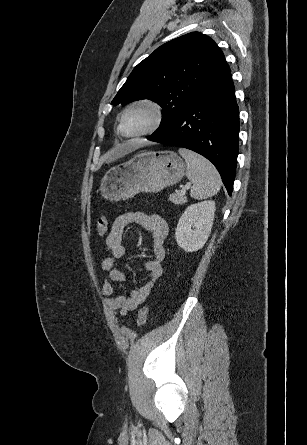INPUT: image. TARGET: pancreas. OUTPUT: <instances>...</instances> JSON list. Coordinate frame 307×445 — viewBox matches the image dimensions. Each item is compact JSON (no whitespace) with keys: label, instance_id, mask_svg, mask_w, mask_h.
<instances>
[{"label":"pancreas","instance_id":"1","mask_svg":"<svg viewBox=\"0 0 307 445\" xmlns=\"http://www.w3.org/2000/svg\"><path fill=\"white\" fill-rule=\"evenodd\" d=\"M169 200L174 202V204H184V202H186V196L179 194V192H173V194H170Z\"/></svg>","mask_w":307,"mask_h":445}]
</instances>
